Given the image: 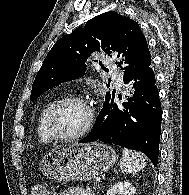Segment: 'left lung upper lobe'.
Masks as SVG:
<instances>
[{"instance_id": "left-lung-upper-lobe-1", "label": "left lung upper lobe", "mask_w": 189, "mask_h": 195, "mask_svg": "<svg viewBox=\"0 0 189 195\" xmlns=\"http://www.w3.org/2000/svg\"><path fill=\"white\" fill-rule=\"evenodd\" d=\"M102 50L108 55L113 52L122 59L116 64L125 71L124 78L151 59L147 41L137 22L115 11L105 12L55 43L36 75L31 100L62 82L85 75L88 58ZM110 96L107 92L105 101Z\"/></svg>"}]
</instances>
